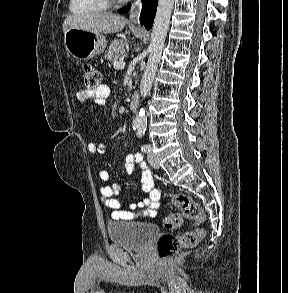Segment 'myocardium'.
<instances>
[{
    "label": "myocardium",
    "mask_w": 288,
    "mask_h": 293,
    "mask_svg": "<svg viewBox=\"0 0 288 293\" xmlns=\"http://www.w3.org/2000/svg\"><path fill=\"white\" fill-rule=\"evenodd\" d=\"M116 0H107L108 3L115 2Z\"/></svg>",
    "instance_id": "f54148a6"
}]
</instances>
